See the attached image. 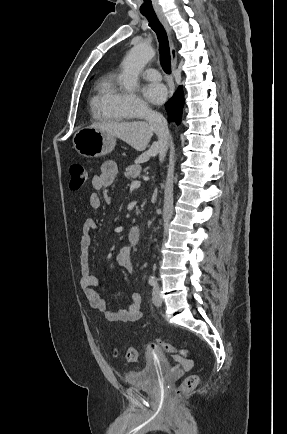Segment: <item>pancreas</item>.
Instances as JSON below:
<instances>
[{"label": "pancreas", "instance_id": "cf45deb5", "mask_svg": "<svg viewBox=\"0 0 287 434\" xmlns=\"http://www.w3.org/2000/svg\"><path fill=\"white\" fill-rule=\"evenodd\" d=\"M141 170L140 165H131L126 168L124 176L130 180L135 179L140 176Z\"/></svg>", "mask_w": 287, "mask_h": 434}]
</instances>
